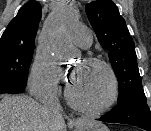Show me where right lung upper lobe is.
Wrapping results in <instances>:
<instances>
[{"label":"right lung upper lobe","instance_id":"right-lung-upper-lobe-1","mask_svg":"<svg viewBox=\"0 0 151 131\" xmlns=\"http://www.w3.org/2000/svg\"><path fill=\"white\" fill-rule=\"evenodd\" d=\"M41 12V5L35 0L24 4L17 16L8 24L0 43L15 42L23 45H34Z\"/></svg>","mask_w":151,"mask_h":131}]
</instances>
